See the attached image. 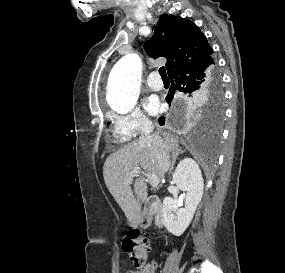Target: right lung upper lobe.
<instances>
[{
  "instance_id": "1",
  "label": "right lung upper lobe",
  "mask_w": 285,
  "mask_h": 273,
  "mask_svg": "<svg viewBox=\"0 0 285 273\" xmlns=\"http://www.w3.org/2000/svg\"><path fill=\"white\" fill-rule=\"evenodd\" d=\"M150 57H166L168 75L175 69L213 53L206 37L192 21L163 14L152 38L144 44Z\"/></svg>"
}]
</instances>
